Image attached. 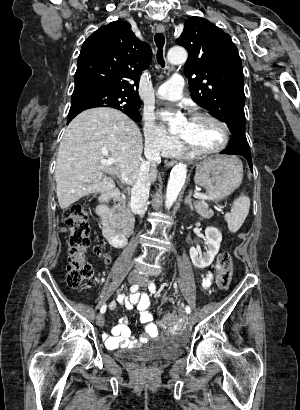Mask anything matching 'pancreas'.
Returning a JSON list of instances; mask_svg holds the SVG:
<instances>
[{
	"label": "pancreas",
	"instance_id": "obj_1",
	"mask_svg": "<svg viewBox=\"0 0 300 410\" xmlns=\"http://www.w3.org/2000/svg\"><path fill=\"white\" fill-rule=\"evenodd\" d=\"M195 208L198 214H200L205 219H210L213 216V211L209 209L208 204L205 201H196ZM119 221H120V230L128 234L131 231L133 226V215L128 208V206L123 203L120 207Z\"/></svg>",
	"mask_w": 300,
	"mask_h": 410
}]
</instances>
